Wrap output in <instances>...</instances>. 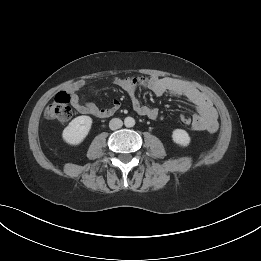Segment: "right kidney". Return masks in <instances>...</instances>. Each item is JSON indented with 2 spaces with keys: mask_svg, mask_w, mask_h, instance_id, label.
I'll use <instances>...</instances> for the list:
<instances>
[{
  "mask_svg": "<svg viewBox=\"0 0 261 261\" xmlns=\"http://www.w3.org/2000/svg\"><path fill=\"white\" fill-rule=\"evenodd\" d=\"M92 125V118L89 116H78L74 118L63 130L62 138L70 145L80 144L88 135Z\"/></svg>",
  "mask_w": 261,
  "mask_h": 261,
  "instance_id": "obj_1",
  "label": "right kidney"
}]
</instances>
